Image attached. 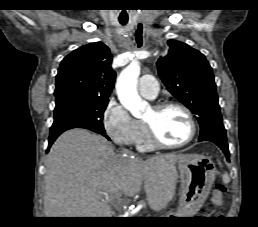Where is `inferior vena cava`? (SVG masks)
Masks as SVG:
<instances>
[{"mask_svg":"<svg viewBox=\"0 0 258 227\" xmlns=\"http://www.w3.org/2000/svg\"><path fill=\"white\" fill-rule=\"evenodd\" d=\"M122 153H125V154H131L128 150H126V149H123L122 150Z\"/></svg>","mask_w":258,"mask_h":227,"instance_id":"602c4592","label":"inferior vena cava"}]
</instances>
